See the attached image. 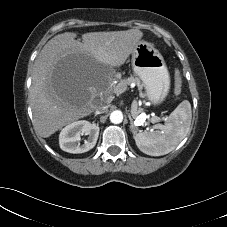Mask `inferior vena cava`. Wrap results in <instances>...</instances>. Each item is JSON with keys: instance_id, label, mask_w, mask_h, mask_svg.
Returning <instances> with one entry per match:
<instances>
[{"instance_id": "inferior-vena-cava-1", "label": "inferior vena cava", "mask_w": 227, "mask_h": 227, "mask_svg": "<svg viewBox=\"0 0 227 227\" xmlns=\"http://www.w3.org/2000/svg\"><path fill=\"white\" fill-rule=\"evenodd\" d=\"M95 114L104 113L108 109V105L106 103L97 104L94 106Z\"/></svg>"}]
</instances>
